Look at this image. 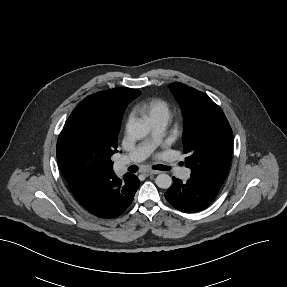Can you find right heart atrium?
Masks as SVG:
<instances>
[{"label":"right heart atrium","mask_w":287,"mask_h":287,"mask_svg":"<svg viewBox=\"0 0 287 287\" xmlns=\"http://www.w3.org/2000/svg\"><path fill=\"white\" fill-rule=\"evenodd\" d=\"M134 120V116L133 114H130L129 117H128V121H127V125H130Z\"/></svg>","instance_id":"1"}]
</instances>
